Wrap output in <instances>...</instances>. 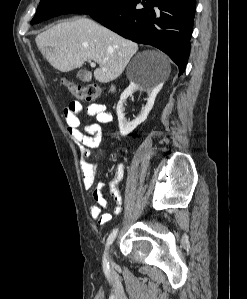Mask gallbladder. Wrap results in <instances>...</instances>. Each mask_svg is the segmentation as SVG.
<instances>
[{"mask_svg":"<svg viewBox=\"0 0 247 299\" xmlns=\"http://www.w3.org/2000/svg\"><path fill=\"white\" fill-rule=\"evenodd\" d=\"M77 77L80 78V79L83 80V81H86V80H89V79H90V77L88 76L87 72L84 71V70L78 72Z\"/></svg>","mask_w":247,"mask_h":299,"instance_id":"gallbladder-1","label":"gallbladder"}]
</instances>
